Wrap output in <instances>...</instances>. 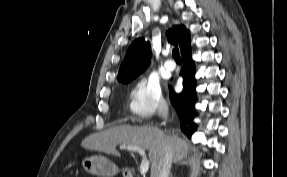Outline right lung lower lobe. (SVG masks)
I'll list each match as a JSON object with an SVG mask.
<instances>
[{"mask_svg": "<svg viewBox=\"0 0 287 177\" xmlns=\"http://www.w3.org/2000/svg\"><path fill=\"white\" fill-rule=\"evenodd\" d=\"M184 65L181 68L180 76L183 78V90L176 94L170 86V100L177 112L182 131L190 137L196 131V124L193 122L195 117V103L197 102L195 65L191 58L190 43L182 52Z\"/></svg>", "mask_w": 287, "mask_h": 177, "instance_id": "right-lung-lower-lobe-1", "label": "right lung lower lobe"}]
</instances>
